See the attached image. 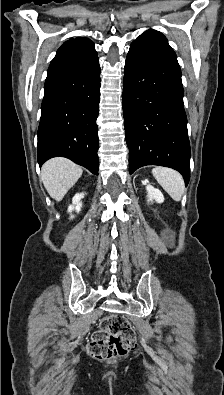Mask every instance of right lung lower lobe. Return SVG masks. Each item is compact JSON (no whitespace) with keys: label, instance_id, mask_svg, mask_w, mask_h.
Listing matches in <instances>:
<instances>
[{"label":"right lung lower lobe","instance_id":"obj_1","mask_svg":"<svg viewBox=\"0 0 224 395\" xmlns=\"http://www.w3.org/2000/svg\"><path fill=\"white\" fill-rule=\"evenodd\" d=\"M38 128V163L62 156L98 175L100 66L95 49L65 42L45 81Z\"/></svg>","mask_w":224,"mask_h":395}]
</instances>
